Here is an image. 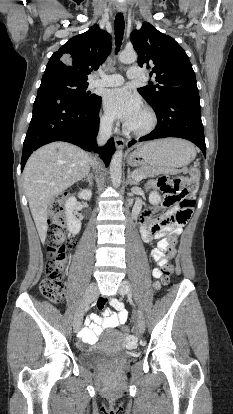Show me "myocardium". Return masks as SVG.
I'll return each instance as SVG.
<instances>
[{"instance_id": "obj_1", "label": "myocardium", "mask_w": 233, "mask_h": 414, "mask_svg": "<svg viewBox=\"0 0 233 414\" xmlns=\"http://www.w3.org/2000/svg\"><path fill=\"white\" fill-rule=\"evenodd\" d=\"M142 112L147 117L146 124L140 128H135L130 125H126L125 130L127 133L132 134L134 136H144L149 134L156 128L158 119L155 112L150 108H144Z\"/></svg>"}]
</instances>
